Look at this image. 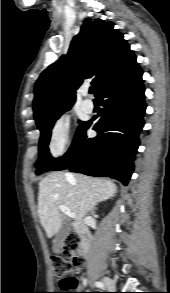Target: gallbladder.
<instances>
[{"label":"gallbladder","instance_id":"bac80fb5","mask_svg":"<svg viewBox=\"0 0 170 293\" xmlns=\"http://www.w3.org/2000/svg\"><path fill=\"white\" fill-rule=\"evenodd\" d=\"M69 233H70V223L64 222L53 240V251L55 253L60 252L61 248L63 247L64 241L69 235Z\"/></svg>","mask_w":170,"mask_h":293}]
</instances>
